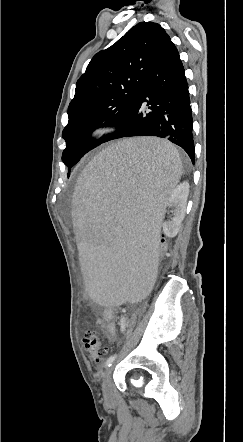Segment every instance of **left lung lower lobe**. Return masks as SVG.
<instances>
[{"label": "left lung lower lobe", "instance_id": "left-lung-lower-lobe-1", "mask_svg": "<svg viewBox=\"0 0 243 442\" xmlns=\"http://www.w3.org/2000/svg\"><path fill=\"white\" fill-rule=\"evenodd\" d=\"M188 83L170 38L147 73L135 105L104 142L133 136L166 138L195 159ZM103 142V143H104Z\"/></svg>", "mask_w": 243, "mask_h": 442}]
</instances>
